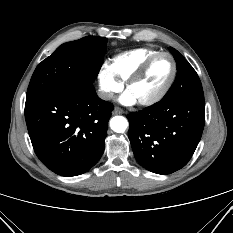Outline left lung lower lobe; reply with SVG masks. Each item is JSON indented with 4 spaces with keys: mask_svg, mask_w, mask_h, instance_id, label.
<instances>
[{
    "mask_svg": "<svg viewBox=\"0 0 233 233\" xmlns=\"http://www.w3.org/2000/svg\"><path fill=\"white\" fill-rule=\"evenodd\" d=\"M204 98L160 102L130 113L128 137L138 163L157 174H170L192 157L204 128Z\"/></svg>",
    "mask_w": 233,
    "mask_h": 233,
    "instance_id": "left-lung-lower-lobe-1",
    "label": "left lung lower lobe"
}]
</instances>
